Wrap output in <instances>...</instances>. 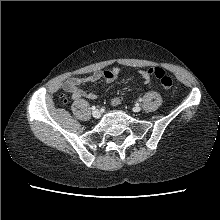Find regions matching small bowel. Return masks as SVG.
Segmentation results:
<instances>
[{
  "label": "small bowel",
  "instance_id": "obj_1",
  "mask_svg": "<svg viewBox=\"0 0 220 220\" xmlns=\"http://www.w3.org/2000/svg\"><path fill=\"white\" fill-rule=\"evenodd\" d=\"M119 73L118 68H112L104 71H96L84 77L72 76L65 80L63 89L70 93L74 99L85 97L87 99L94 100L97 97L96 94L94 92L84 90L82 85L93 83L101 79H104L107 82H113L118 78ZM140 74L144 83H149L150 77L147 75L146 70H142ZM113 100L117 101V105L121 103V98L119 97Z\"/></svg>",
  "mask_w": 220,
  "mask_h": 220
}]
</instances>
